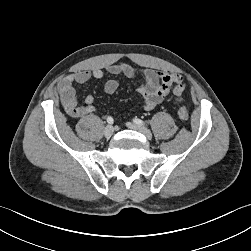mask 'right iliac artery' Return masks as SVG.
Here are the masks:
<instances>
[{
    "label": "right iliac artery",
    "instance_id": "1",
    "mask_svg": "<svg viewBox=\"0 0 251 251\" xmlns=\"http://www.w3.org/2000/svg\"><path fill=\"white\" fill-rule=\"evenodd\" d=\"M107 122H108V124H113V122H114V120H113V118L111 117V116H109L108 118H107Z\"/></svg>",
    "mask_w": 251,
    "mask_h": 251
}]
</instances>
